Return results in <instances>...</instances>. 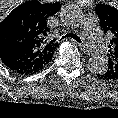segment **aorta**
Listing matches in <instances>:
<instances>
[{"label":"aorta","mask_w":118,"mask_h":118,"mask_svg":"<svg viewBox=\"0 0 118 118\" xmlns=\"http://www.w3.org/2000/svg\"><path fill=\"white\" fill-rule=\"evenodd\" d=\"M60 18L66 25L75 28L81 24L83 14L78 6L69 4L61 10ZM88 69L94 74H104L108 69V63L102 57H93L89 59Z\"/></svg>","instance_id":"762f6f07"}]
</instances>
